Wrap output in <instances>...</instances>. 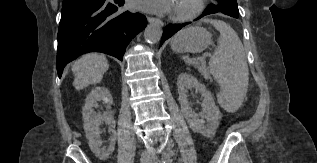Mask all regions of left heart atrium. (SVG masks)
Wrapping results in <instances>:
<instances>
[{"label":"left heart atrium","mask_w":317,"mask_h":163,"mask_svg":"<svg viewBox=\"0 0 317 163\" xmlns=\"http://www.w3.org/2000/svg\"><path fill=\"white\" fill-rule=\"evenodd\" d=\"M133 5L143 11L157 14L168 13L173 10L176 0H130Z\"/></svg>","instance_id":"1"}]
</instances>
